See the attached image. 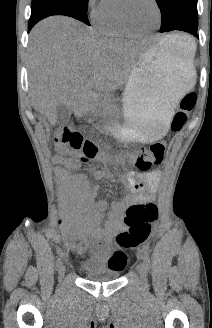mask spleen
<instances>
[{"mask_svg":"<svg viewBox=\"0 0 212 328\" xmlns=\"http://www.w3.org/2000/svg\"><path fill=\"white\" fill-rule=\"evenodd\" d=\"M163 40L171 42L175 46L184 48L185 51L192 54V56H194L195 54L196 42L192 37L188 35H182V34L169 35L168 37H165Z\"/></svg>","mask_w":212,"mask_h":328,"instance_id":"1","label":"spleen"}]
</instances>
